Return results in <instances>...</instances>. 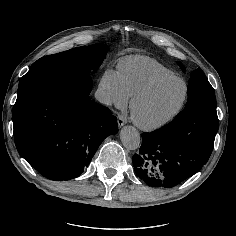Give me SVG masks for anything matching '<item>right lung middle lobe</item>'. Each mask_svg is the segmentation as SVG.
Here are the masks:
<instances>
[{"instance_id":"1","label":"right lung middle lobe","mask_w":236,"mask_h":236,"mask_svg":"<svg viewBox=\"0 0 236 236\" xmlns=\"http://www.w3.org/2000/svg\"><path fill=\"white\" fill-rule=\"evenodd\" d=\"M107 50L106 44H94L40 58L21 78L17 97L37 87L79 77H87L91 81V70L100 66Z\"/></svg>"}]
</instances>
